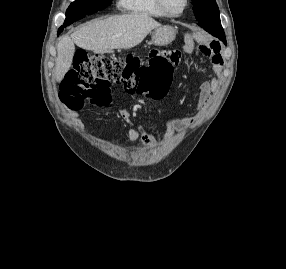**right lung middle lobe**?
I'll list each match as a JSON object with an SVG mask.
<instances>
[{"mask_svg":"<svg viewBox=\"0 0 286 269\" xmlns=\"http://www.w3.org/2000/svg\"><path fill=\"white\" fill-rule=\"evenodd\" d=\"M110 2L111 0H76L72 2L66 11L64 25L59 28L58 32L61 33L64 27L85 17L86 15H91L98 10L103 9Z\"/></svg>","mask_w":286,"mask_h":269,"instance_id":"obj_1","label":"right lung middle lobe"}]
</instances>
